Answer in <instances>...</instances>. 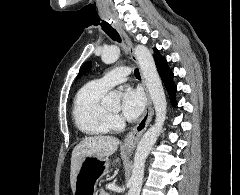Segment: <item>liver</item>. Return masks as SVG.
Returning <instances> with one entry per match:
<instances>
[{"instance_id":"1","label":"liver","mask_w":240,"mask_h":195,"mask_svg":"<svg viewBox=\"0 0 240 195\" xmlns=\"http://www.w3.org/2000/svg\"><path fill=\"white\" fill-rule=\"evenodd\" d=\"M119 143L118 137H114V135H93V137H84L80 143H77L71 157L70 183L72 189L75 187L76 177L86 157H97V159L109 157L118 149ZM119 159L120 157H117L113 163Z\"/></svg>"}]
</instances>
